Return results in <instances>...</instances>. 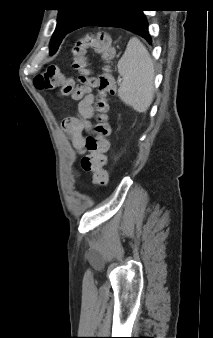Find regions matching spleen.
Wrapping results in <instances>:
<instances>
[{"instance_id":"3e777b00","label":"spleen","mask_w":213,"mask_h":338,"mask_svg":"<svg viewBox=\"0 0 213 338\" xmlns=\"http://www.w3.org/2000/svg\"><path fill=\"white\" fill-rule=\"evenodd\" d=\"M117 67L123 79L118 89L119 98L137 112H145L154 98V66L138 38L129 40Z\"/></svg>"}]
</instances>
